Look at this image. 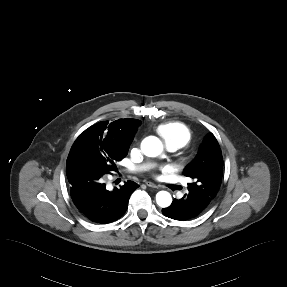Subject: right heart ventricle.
Here are the masks:
<instances>
[{"instance_id": "right-heart-ventricle-1", "label": "right heart ventricle", "mask_w": 287, "mask_h": 287, "mask_svg": "<svg viewBox=\"0 0 287 287\" xmlns=\"http://www.w3.org/2000/svg\"><path fill=\"white\" fill-rule=\"evenodd\" d=\"M156 131L167 148L178 150L191 140V132L188 126L182 122L173 121L160 124Z\"/></svg>"}]
</instances>
